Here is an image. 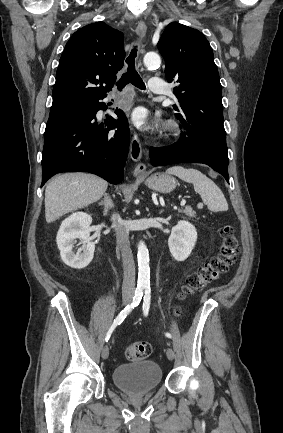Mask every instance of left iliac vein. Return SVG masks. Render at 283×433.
Masks as SVG:
<instances>
[{
    "label": "left iliac vein",
    "instance_id": "left-iliac-vein-1",
    "mask_svg": "<svg viewBox=\"0 0 283 433\" xmlns=\"http://www.w3.org/2000/svg\"><path fill=\"white\" fill-rule=\"evenodd\" d=\"M166 355L168 357L169 360H173L174 359V351L172 348H167L166 350Z\"/></svg>",
    "mask_w": 283,
    "mask_h": 433
}]
</instances>
